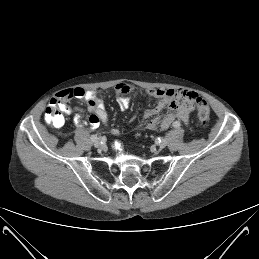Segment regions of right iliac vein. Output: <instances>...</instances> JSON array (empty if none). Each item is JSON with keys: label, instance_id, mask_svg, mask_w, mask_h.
<instances>
[{"label": "right iliac vein", "instance_id": "right-iliac-vein-1", "mask_svg": "<svg viewBox=\"0 0 259 259\" xmlns=\"http://www.w3.org/2000/svg\"><path fill=\"white\" fill-rule=\"evenodd\" d=\"M93 145H94L95 147H100V146H101V141H100V139L97 138L96 140H94V141H93Z\"/></svg>", "mask_w": 259, "mask_h": 259}]
</instances>
